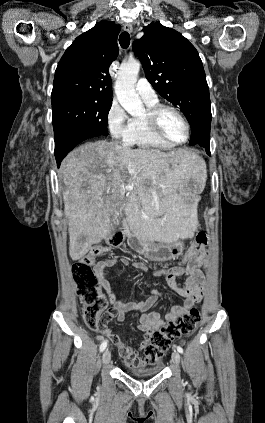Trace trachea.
Segmentation results:
<instances>
[{
  "label": "trachea",
  "instance_id": "3493384b",
  "mask_svg": "<svg viewBox=\"0 0 265 423\" xmlns=\"http://www.w3.org/2000/svg\"><path fill=\"white\" fill-rule=\"evenodd\" d=\"M119 43L123 49H127L130 45V35L128 32H122L119 36Z\"/></svg>",
  "mask_w": 265,
  "mask_h": 423
}]
</instances>
